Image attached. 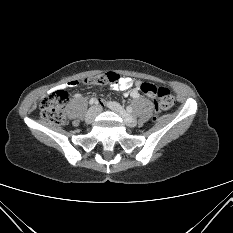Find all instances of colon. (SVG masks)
I'll return each mask as SVG.
<instances>
[{"label":"colon","instance_id":"1","mask_svg":"<svg viewBox=\"0 0 233 233\" xmlns=\"http://www.w3.org/2000/svg\"><path fill=\"white\" fill-rule=\"evenodd\" d=\"M106 73L94 75L85 80L93 85H112V81L107 78ZM118 75V74H117ZM88 84V83H87ZM140 90L148 96L154 98L155 110L162 112L170 109L175 104V98L171 91L166 87H157L150 83H142ZM68 100V94L65 90L52 92L46 95L40 104L41 117L50 123L60 125L65 122L63 107Z\"/></svg>","mask_w":233,"mask_h":233}]
</instances>
